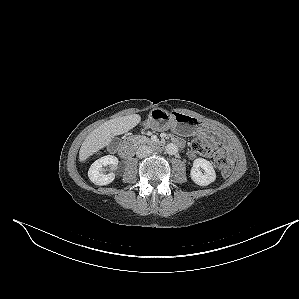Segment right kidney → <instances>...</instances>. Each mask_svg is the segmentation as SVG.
<instances>
[{
    "instance_id": "obj_1",
    "label": "right kidney",
    "mask_w": 299,
    "mask_h": 299,
    "mask_svg": "<svg viewBox=\"0 0 299 299\" xmlns=\"http://www.w3.org/2000/svg\"><path fill=\"white\" fill-rule=\"evenodd\" d=\"M118 158L112 155H107L96 160L88 171V177L95 185L103 186L110 184L115 179V174L110 172L104 174L103 167L110 165L111 170H115L118 165Z\"/></svg>"
}]
</instances>
